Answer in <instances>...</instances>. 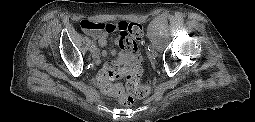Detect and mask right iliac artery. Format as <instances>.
Masks as SVG:
<instances>
[{"label":"right iliac artery","mask_w":255,"mask_h":122,"mask_svg":"<svg viewBox=\"0 0 255 122\" xmlns=\"http://www.w3.org/2000/svg\"><path fill=\"white\" fill-rule=\"evenodd\" d=\"M93 48H96L95 44H92V46L90 47V50L93 49Z\"/></svg>","instance_id":"82829eb1"}]
</instances>
